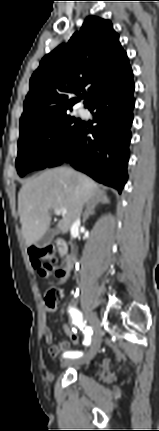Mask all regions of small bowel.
<instances>
[{
	"mask_svg": "<svg viewBox=\"0 0 159 431\" xmlns=\"http://www.w3.org/2000/svg\"><path fill=\"white\" fill-rule=\"evenodd\" d=\"M71 270H72L71 262L65 261L63 266L56 270L57 282L59 284L66 282L70 276ZM64 311H65V307H63L61 309V314H64ZM43 336H44L45 342L50 345V347L48 349V353L51 357L55 358L58 355H60L61 353L65 354L67 352H71L69 350L70 349V343L66 340H59L57 342V344L52 345L53 335H52V332L48 326H44Z\"/></svg>",
	"mask_w": 159,
	"mask_h": 431,
	"instance_id": "small-bowel-1",
	"label": "small bowel"
}]
</instances>
